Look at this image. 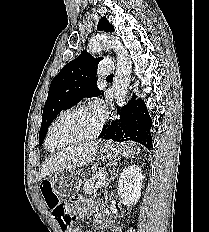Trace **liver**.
Wrapping results in <instances>:
<instances>
[{"instance_id":"obj_1","label":"liver","mask_w":209,"mask_h":232,"mask_svg":"<svg viewBox=\"0 0 209 232\" xmlns=\"http://www.w3.org/2000/svg\"><path fill=\"white\" fill-rule=\"evenodd\" d=\"M99 145V141H91L62 149L47 159L39 179L56 171L72 170L76 167L85 166L95 159Z\"/></svg>"}]
</instances>
